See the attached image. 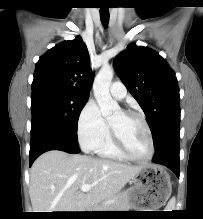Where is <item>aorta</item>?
Returning a JSON list of instances; mask_svg holds the SVG:
<instances>
[{
	"instance_id": "obj_1",
	"label": "aorta",
	"mask_w": 203,
	"mask_h": 219,
	"mask_svg": "<svg viewBox=\"0 0 203 219\" xmlns=\"http://www.w3.org/2000/svg\"><path fill=\"white\" fill-rule=\"evenodd\" d=\"M113 79V69L104 65L99 70L94 80V97L100 107L101 114L104 117H110L120 111L118 103L112 99L109 88Z\"/></svg>"
}]
</instances>
